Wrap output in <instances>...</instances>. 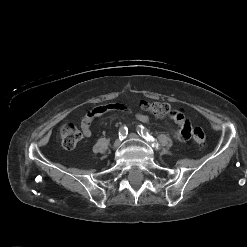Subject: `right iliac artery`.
I'll use <instances>...</instances> for the list:
<instances>
[{
	"label": "right iliac artery",
	"instance_id": "1",
	"mask_svg": "<svg viewBox=\"0 0 247 247\" xmlns=\"http://www.w3.org/2000/svg\"><path fill=\"white\" fill-rule=\"evenodd\" d=\"M128 133V128L124 125L119 128V138L120 140H123L126 138V135Z\"/></svg>",
	"mask_w": 247,
	"mask_h": 247
}]
</instances>
